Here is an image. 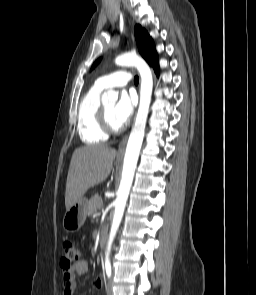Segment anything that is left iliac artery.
I'll return each mask as SVG.
<instances>
[{
	"instance_id": "1",
	"label": "left iliac artery",
	"mask_w": 256,
	"mask_h": 295,
	"mask_svg": "<svg viewBox=\"0 0 256 295\" xmlns=\"http://www.w3.org/2000/svg\"><path fill=\"white\" fill-rule=\"evenodd\" d=\"M105 271H106L107 277L110 278L111 277V263L110 262L105 263Z\"/></svg>"
}]
</instances>
